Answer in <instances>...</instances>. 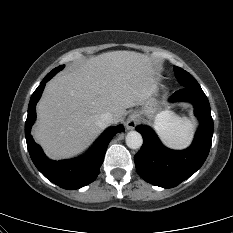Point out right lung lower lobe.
Masks as SVG:
<instances>
[{
    "instance_id": "98d812e1",
    "label": "right lung lower lobe",
    "mask_w": 233,
    "mask_h": 233,
    "mask_svg": "<svg viewBox=\"0 0 233 233\" xmlns=\"http://www.w3.org/2000/svg\"><path fill=\"white\" fill-rule=\"evenodd\" d=\"M52 77V75H46L40 86L31 96L28 106V116L25 122L27 148L33 163L48 180L64 189H79L96 179L109 142L115 134L123 132L124 128L122 125H119L106 131L95 143L91 151L82 157L64 161H52L48 159L41 147L32 139L30 131L36 119V103L41 97L45 83Z\"/></svg>"
}]
</instances>
